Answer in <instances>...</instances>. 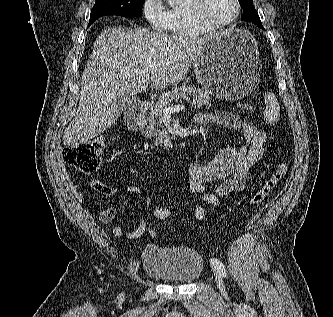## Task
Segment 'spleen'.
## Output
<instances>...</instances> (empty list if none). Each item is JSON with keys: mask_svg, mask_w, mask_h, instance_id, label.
I'll return each instance as SVG.
<instances>
[{"mask_svg": "<svg viewBox=\"0 0 333 317\" xmlns=\"http://www.w3.org/2000/svg\"><path fill=\"white\" fill-rule=\"evenodd\" d=\"M266 108L264 110V120L267 124H273L277 122L279 118L280 107L276 96L267 92L264 96Z\"/></svg>", "mask_w": 333, "mask_h": 317, "instance_id": "obj_1", "label": "spleen"}]
</instances>
